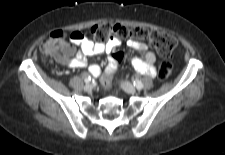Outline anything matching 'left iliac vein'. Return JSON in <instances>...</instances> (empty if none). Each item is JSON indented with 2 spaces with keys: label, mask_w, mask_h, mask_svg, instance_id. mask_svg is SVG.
Instances as JSON below:
<instances>
[{
  "label": "left iliac vein",
  "mask_w": 225,
  "mask_h": 155,
  "mask_svg": "<svg viewBox=\"0 0 225 155\" xmlns=\"http://www.w3.org/2000/svg\"><path fill=\"white\" fill-rule=\"evenodd\" d=\"M120 86L125 92L129 94H135L137 92L136 88L129 82L122 81Z\"/></svg>",
  "instance_id": "1"
}]
</instances>
